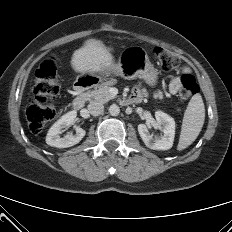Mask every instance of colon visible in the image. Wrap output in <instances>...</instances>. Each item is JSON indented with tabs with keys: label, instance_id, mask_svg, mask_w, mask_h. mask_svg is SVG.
<instances>
[{
	"label": "colon",
	"instance_id": "colon-1",
	"mask_svg": "<svg viewBox=\"0 0 232 232\" xmlns=\"http://www.w3.org/2000/svg\"><path fill=\"white\" fill-rule=\"evenodd\" d=\"M154 55L158 66L164 72L176 71L181 65L178 57L163 48H156ZM197 92L195 77L191 74H183L180 77L179 99L187 101ZM58 95L59 80L54 64L46 60L36 71L33 97L26 107V119L31 132L39 133L55 117V109L51 102L56 100Z\"/></svg>",
	"mask_w": 232,
	"mask_h": 232
}]
</instances>
